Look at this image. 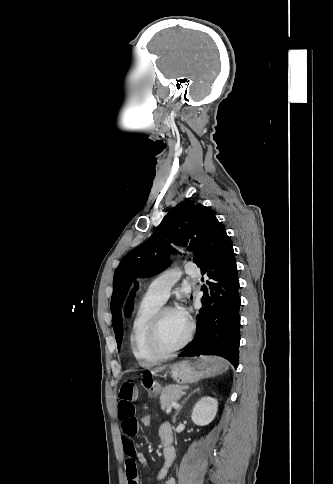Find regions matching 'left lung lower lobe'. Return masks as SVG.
<instances>
[{
  "label": "left lung lower lobe",
  "mask_w": 333,
  "mask_h": 484,
  "mask_svg": "<svg viewBox=\"0 0 333 484\" xmlns=\"http://www.w3.org/2000/svg\"><path fill=\"white\" fill-rule=\"evenodd\" d=\"M195 263L206 274L207 284L197 315V336L179 354L184 356L218 355L237 368L240 343L239 281L232 242L225 228L212 219L204 247Z\"/></svg>",
  "instance_id": "obj_1"
}]
</instances>
